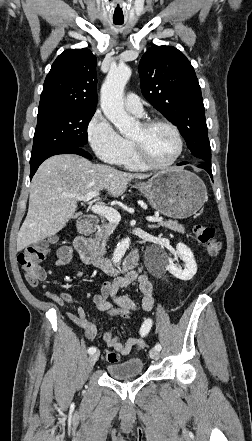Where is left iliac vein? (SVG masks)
I'll list each match as a JSON object with an SVG mask.
<instances>
[{
	"label": "left iliac vein",
	"instance_id": "4c4485c4",
	"mask_svg": "<svg viewBox=\"0 0 252 441\" xmlns=\"http://www.w3.org/2000/svg\"><path fill=\"white\" fill-rule=\"evenodd\" d=\"M149 354H150V357L154 360H158L160 357V353L156 349H151Z\"/></svg>",
	"mask_w": 252,
	"mask_h": 441
}]
</instances>
